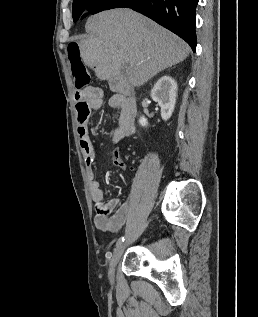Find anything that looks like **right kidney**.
<instances>
[{"label": "right kidney", "mask_w": 258, "mask_h": 317, "mask_svg": "<svg viewBox=\"0 0 258 317\" xmlns=\"http://www.w3.org/2000/svg\"><path fill=\"white\" fill-rule=\"evenodd\" d=\"M177 90V82H175L174 78L169 76V74L161 76L151 90L153 100H156L159 106H161V116L163 120L170 118L175 108ZM139 124H141V126H148L147 118L140 116Z\"/></svg>", "instance_id": "right-kidney-1"}]
</instances>
